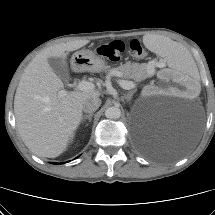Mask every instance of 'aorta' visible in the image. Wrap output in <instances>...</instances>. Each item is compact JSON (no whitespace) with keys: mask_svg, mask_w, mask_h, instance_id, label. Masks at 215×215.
Masks as SVG:
<instances>
[{"mask_svg":"<svg viewBox=\"0 0 215 215\" xmlns=\"http://www.w3.org/2000/svg\"><path fill=\"white\" fill-rule=\"evenodd\" d=\"M105 116L108 119H118L121 116V110L117 106L108 107L105 110Z\"/></svg>","mask_w":215,"mask_h":215,"instance_id":"762f6f07","label":"aorta"}]
</instances>
